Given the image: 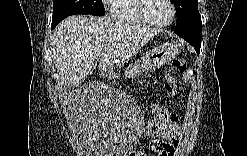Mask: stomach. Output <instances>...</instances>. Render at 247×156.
I'll return each instance as SVG.
<instances>
[{
	"instance_id": "stomach-1",
	"label": "stomach",
	"mask_w": 247,
	"mask_h": 156,
	"mask_svg": "<svg viewBox=\"0 0 247 156\" xmlns=\"http://www.w3.org/2000/svg\"><path fill=\"white\" fill-rule=\"evenodd\" d=\"M181 49V44L178 42L171 41L164 43L147 52L141 61L129 65L124 74L126 77H132L138 68L148 70L157 69L172 61L181 52Z\"/></svg>"
}]
</instances>
